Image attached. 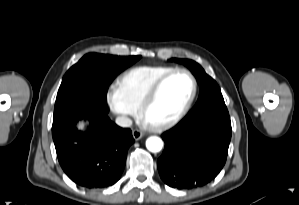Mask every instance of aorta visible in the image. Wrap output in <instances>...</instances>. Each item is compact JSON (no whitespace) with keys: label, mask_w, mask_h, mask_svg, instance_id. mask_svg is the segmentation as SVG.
Listing matches in <instances>:
<instances>
[{"label":"aorta","mask_w":299,"mask_h":205,"mask_svg":"<svg viewBox=\"0 0 299 205\" xmlns=\"http://www.w3.org/2000/svg\"><path fill=\"white\" fill-rule=\"evenodd\" d=\"M146 147L150 152H159L163 147V141L157 136L149 137L146 140Z\"/></svg>","instance_id":"aorta-1"}]
</instances>
